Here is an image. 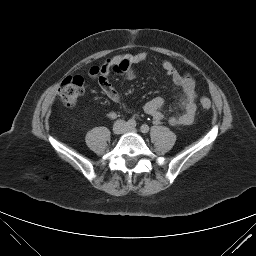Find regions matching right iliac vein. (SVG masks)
<instances>
[{"instance_id":"right-iliac-vein-1","label":"right iliac vein","mask_w":256,"mask_h":256,"mask_svg":"<svg viewBox=\"0 0 256 256\" xmlns=\"http://www.w3.org/2000/svg\"><path fill=\"white\" fill-rule=\"evenodd\" d=\"M125 126L126 125L124 122L119 121V122L115 123V125L113 126V132L115 134H121V133H123Z\"/></svg>"}]
</instances>
